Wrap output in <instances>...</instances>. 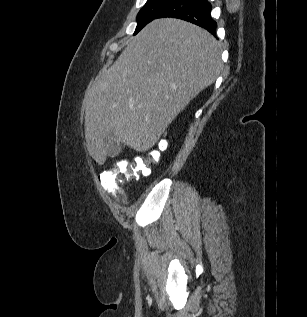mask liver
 <instances>
[{"label":"liver","mask_w":307,"mask_h":317,"mask_svg":"<svg viewBox=\"0 0 307 317\" xmlns=\"http://www.w3.org/2000/svg\"><path fill=\"white\" fill-rule=\"evenodd\" d=\"M222 68L217 40L179 19H157L129 40L115 63L85 93V138L103 165L106 138L145 152Z\"/></svg>","instance_id":"obj_1"}]
</instances>
